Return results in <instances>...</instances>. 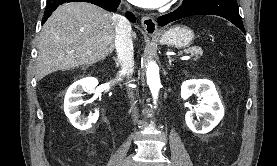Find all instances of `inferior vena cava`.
Instances as JSON below:
<instances>
[{
    "mask_svg": "<svg viewBox=\"0 0 277 166\" xmlns=\"http://www.w3.org/2000/svg\"><path fill=\"white\" fill-rule=\"evenodd\" d=\"M116 20L115 28V48L117 52V60L121 66V72L127 76L133 73L134 70V56H133V43L131 37V24L122 15H114ZM129 98H131V110L134 112V119L137 118V111L133 98L132 91L128 92Z\"/></svg>",
    "mask_w": 277,
    "mask_h": 166,
    "instance_id": "obj_1",
    "label": "inferior vena cava"
}]
</instances>
